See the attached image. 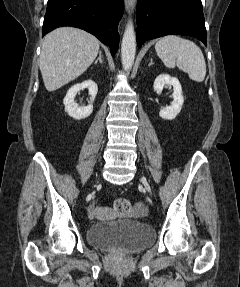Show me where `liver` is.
I'll return each mask as SVG.
<instances>
[{
	"instance_id": "obj_1",
	"label": "liver",
	"mask_w": 240,
	"mask_h": 287,
	"mask_svg": "<svg viewBox=\"0 0 240 287\" xmlns=\"http://www.w3.org/2000/svg\"><path fill=\"white\" fill-rule=\"evenodd\" d=\"M99 40L74 27L47 34L42 43L39 67L47 91H55L82 75L99 51Z\"/></svg>"
}]
</instances>
